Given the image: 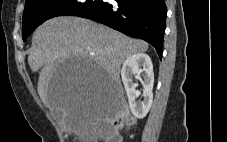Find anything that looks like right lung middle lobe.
Returning <instances> with one entry per match:
<instances>
[{"mask_svg": "<svg viewBox=\"0 0 227 142\" xmlns=\"http://www.w3.org/2000/svg\"><path fill=\"white\" fill-rule=\"evenodd\" d=\"M103 0H28L22 20V38H26L46 20L63 15H78Z\"/></svg>", "mask_w": 227, "mask_h": 142, "instance_id": "obj_1", "label": "right lung middle lobe"}]
</instances>
